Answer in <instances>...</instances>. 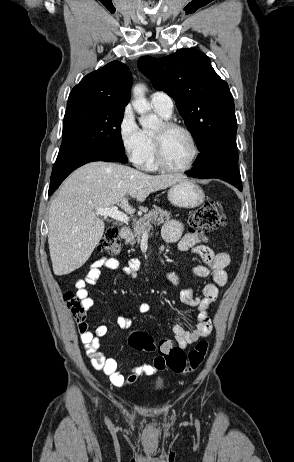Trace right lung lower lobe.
I'll return each mask as SVG.
<instances>
[{"mask_svg":"<svg viewBox=\"0 0 294 462\" xmlns=\"http://www.w3.org/2000/svg\"><path fill=\"white\" fill-rule=\"evenodd\" d=\"M92 161L127 162L128 159L124 151L118 150H100L59 158L53 166L48 194L51 195L76 168Z\"/></svg>","mask_w":294,"mask_h":462,"instance_id":"1","label":"right lung lower lobe"}]
</instances>
